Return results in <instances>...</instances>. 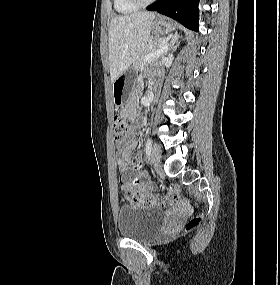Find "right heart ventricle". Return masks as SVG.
<instances>
[{"instance_id":"right-heart-ventricle-1","label":"right heart ventricle","mask_w":280,"mask_h":285,"mask_svg":"<svg viewBox=\"0 0 280 285\" xmlns=\"http://www.w3.org/2000/svg\"><path fill=\"white\" fill-rule=\"evenodd\" d=\"M113 6L119 14H129L136 11L139 7L129 0H113Z\"/></svg>"}]
</instances>
